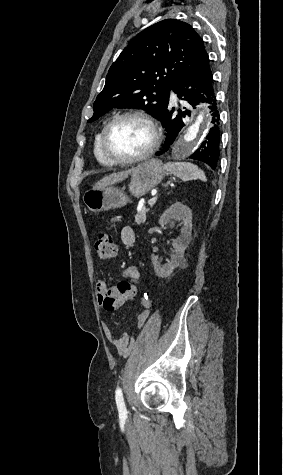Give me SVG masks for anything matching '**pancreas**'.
<instances>
[{
  "label": "pancreas",
  "instance_id": "1",
  "mask_svg": "<svg viewBox=\"0 0 283 475\" xmlns=\"http://www.w3.org/2000/svg\"><path fill=\"white\" fill-rule=\"evenodd\" d=\"M147 212H149V208H146V206H143L142 210H140V212H137L136 216H134L135 222H136V224H138V226H140V224H144V222H146Z\"/></svg>",
  "mask_w": 283,
  "mask_h": 475
}]
</instances>
